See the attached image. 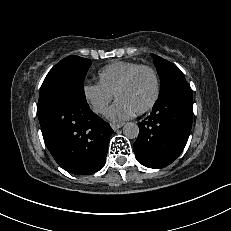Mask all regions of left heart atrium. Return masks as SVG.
<instances>
[{"label": "left heart atrium", "instance_id": "1", "mask_svg": "<svg viewBox=\"0 0 231 231\" xmlns=\"http://www.w3.org/2000/svg\"><path fill=\"white\" fill-rule=\"evenodd\" d=\"M135 111L125 102L117 100V102L109 109L107 116L110 120L121 121L132 117Z\"/></svg>", "mask_w": 231, "mask_h": 231}]
</instances>
